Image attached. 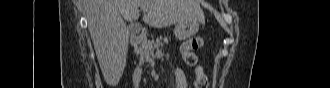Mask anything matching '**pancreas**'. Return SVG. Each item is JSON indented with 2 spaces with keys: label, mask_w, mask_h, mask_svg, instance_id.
I'll return each mask as SVG.
<instances>
[{
  "label": "pancreas",
  "mask_w": 330,
  "mask_h": 88,
  "mask_svg": "<svg viewBox=\"0 0 330 88\" xmlns=\"http://www.w3.org/2000/svg\"><path fill=\"white\" fill-rule=\"evenodd\" d=\"M170 38L168 37H159L151 41H145L140 48V56L144 58L146 62L151 63L154 58V50L162 47L164 44H167Z\"/></svg>",
  "instance_id": "obj_1"
}]
</instances>
